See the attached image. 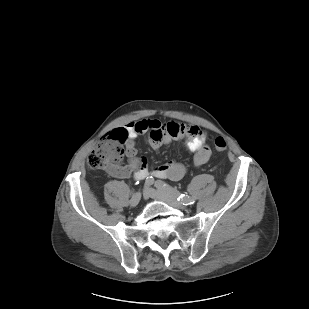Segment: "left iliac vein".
<instances>
[{
    "label": "left iliac vein",
    "mask_w": 309,
    "mask_h": 309,
    "mask_svg": "<svg viewBox=\"0 0 309 309\" xmlns=\"http://www.w3.org/2000/svg\"><path fill=\"white\" fill-rule=\"evenodd\" d=\"M144 193L147 194L149 197L163 201L167 204H169L172 207L178 208V209H186V207L183 205L182 202L178 201L175 197L153 188H145Z\"/></svg>",
    "instance_id": "4c4485c4"
}]
</instances>
